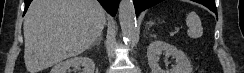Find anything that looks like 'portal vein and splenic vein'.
Here are the masks:
<instances>
[{
    "label": "portal vein and splenic vein",
    "mask_w": 244,
    "mask_h": 73,
    "mask_svg": "<svg viewBox=\"0 0 244 73\" xmlns=\"http://www.w3.org/2000/svg\"><path fill=\"white\" fill-rule=\"evenodd\" d=\"M177 32L176 31H173L170 33V36H174Z\"/></svg>",
    "instance_id": "portal-vein-and-splenic-vein-1"
}]
</instances>
